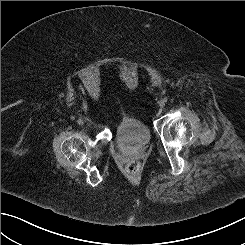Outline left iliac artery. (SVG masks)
Listing matches in <instances>:
<instances>
[{
    "label": "left iliac artery",
    "mask_w": 245,
    "mask_h": 245,
    "mask_svg": "<svg viewBox=\"0 0 245 245\" xmlns=\"http://www.w3.org/2000/svg\"><path fill=\"white\" fill-rule=\"evenodd\" d=\"M167 100H168V99H167L166 97L163 99L164 102H167Z\"/></svg>",
    "instance_id": "left-iliac-artery-1"
}]
</instances>
